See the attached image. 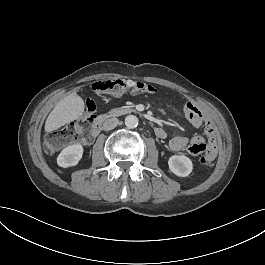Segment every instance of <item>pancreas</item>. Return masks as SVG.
Wrapping results in <instances>:
<instances>
[{
	"instance_id": "pancreas-1",
	"label": "pancreas",
	"mask_w": 265,
	"mask_h": 265,
	"mask_svg": "<svg viewBox=\"0 0 265 265\" xmlns=\"http://www.w3.org/2000/svg\"><path fill=\"white\" fill-rule=\"evenodd\" d=\"M131 112H136L135 109H131V108H114V109H111L107 116L108 117H114V116H119V115H122L124 113H131Z\"/></svg>"
}]
</instances>
